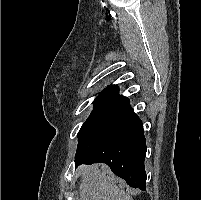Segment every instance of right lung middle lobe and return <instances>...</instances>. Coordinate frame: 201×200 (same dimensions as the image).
<instances>
[{
  "mask_svg": "<svg viewBox=\"0 0 201 200\" xmlns=\"http://www.w3.org/2000/svg\"><path fill=\"white\" fill-rule=\"evenodd\" d=\"M93 104L94 110L82 125L77 136L102 119L128 105L129 99L112 93H101L96 97Z\"/></svg>",
  "mask_w": 201,
  "mask_h": 200,
  "instance_id": "1",
  "label": "right lung middle lobe"
}]
</instances>
